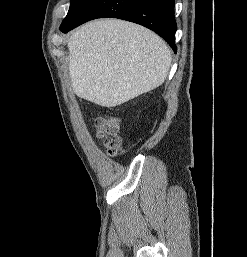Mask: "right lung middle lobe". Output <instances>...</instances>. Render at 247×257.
Instances as JSON below:
<instances>
[{"instance_id":"1","label":"right lung middle lobe","mask_w":247,"mask_h":257,"mask_svg":"<svg viewBox=\"0 0 247 257\" xmlns=\"http://www.w3.org/2000/svg\"><path fill=\"white\" fill-rule=\"evenodd\" d=\"M92 1L93 0H71L68 14L63 20L61 26L77 20Z\"/></svg>"}]
</instances>
